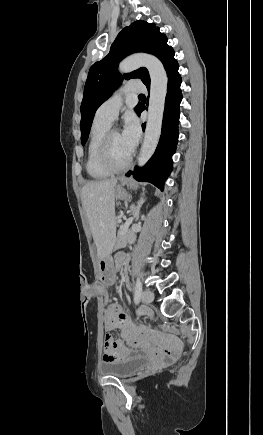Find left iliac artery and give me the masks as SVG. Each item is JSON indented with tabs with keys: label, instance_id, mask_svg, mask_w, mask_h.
Here are the masks:
<instances>
[{
	"label": "left iliac artery",
	"instance_id": "44dca946",
	"mask_svg": "<svg viewBox=\"0 0 263 435\" xmlns=\"http://www.w3.org/2000/svg\"><path fill=\"white\" fill-rule=\"evenodd\" d=\"M141 293H142V284H141L140 280L137 278L135 293H134V302L136 304H138L140 301Z\"/></svg>",
	"mask_w": 263,
	"mask_h": 435
}]
</instances>
